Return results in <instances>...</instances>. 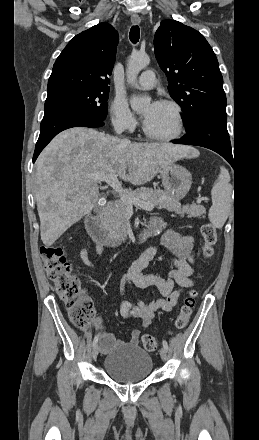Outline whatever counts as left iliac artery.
Wrapping results in <instances>:
<instances>
[{"mask_svg": "<svg viewBox=\"0 0 259 440\" xmlns=\"http://www.w3.org/2000/svg\"><path fill=\"white\" fill-rule=\"evenodd\" d=\"M163 347H164L166 350H168V344H167L166 340H163Z\"/></svg>", "mask_w": 259, "mask_h": 440, "instance_id": "1", "label": "left iliac artery"}]
</instances>
